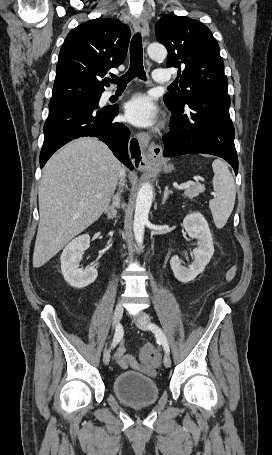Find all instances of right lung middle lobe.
<instances>
[{"instance_id":"obj_1","label":"right lung middle lobe","mask_w":272,"mask_h":455,"mask_svg":"<svg viewBox=\"0 0 272 455\" xmlns=\"http://www.w3.org/2000/svg\"><path fill=\"white\" fill-rule=\"evenodd\" d=\"M100 97L101 95H94L87 97H78L57 102H50L49 113H53L64 108H88L91 106H98Z\"/></svg>"}]
</instances>
